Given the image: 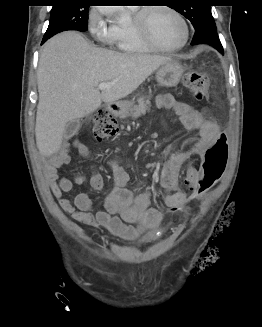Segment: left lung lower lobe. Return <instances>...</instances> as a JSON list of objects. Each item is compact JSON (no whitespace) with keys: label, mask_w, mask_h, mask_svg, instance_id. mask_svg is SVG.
<instances>
[{"label":"left lung lower lobe","mask_w":262,"mask_h":327,"mask_svg":"<svg viewBox=\"0 0 262 327\" xmlns=\"http://www.w3.org/2000/svg\"><path fill=\"white\" fill-rule=\"evenodd\" d=\"M191 44H209L217 49L220 53L224 54L222 44L217 35L214 19L206 22L195 31Z\"/></svg>","instance_id":"obj_1"}]
</instances>
